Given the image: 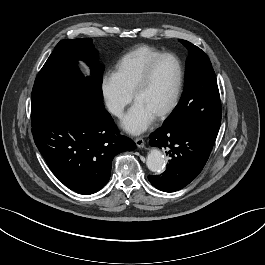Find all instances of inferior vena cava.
<instances>
[{"instance_id": "obj_1", "label": "inferior vena cava", "mask_w": 265, "mask_h": 265, "mask_svg": "<svg viewBox=\"0 0 265 265\" xmlns=\"http://www.w3.org/2000/svg\"><path fill=\"white\" fill-rule=\"evenodd\" d=\"M109 111L116 115L119 116L122 114L123 111V107H121L120 105L114 104V103H108L107 104Z\"/></svg>"}]
</instances>
